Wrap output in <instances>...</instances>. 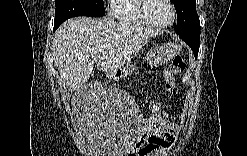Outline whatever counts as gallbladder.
I'll use <instances>...</instances> for the list:
<instances>
[{"instance_id": "obj_1", "label": "gallbladder", "mask_w": 247, "mask_h": 156, "mask_svg": "<svg viewBox=\"0 0 247 156\" xmlns=\"http://www.w3.org/2000/svg\"><path fill=\"white\" fill-rule=\"evenodd\" d=\"M67 91H69L70 89H69V87H67V89H66Z\"/></svg>"}]
</instances>
